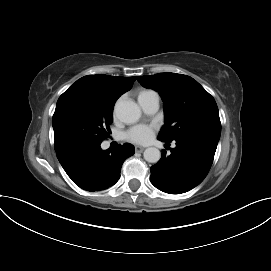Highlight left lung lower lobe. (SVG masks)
<instances>
[{
  "mask_svg": "<svg viewBox=\"0 0 271 271\" xmlns=\"http://www.w3.org/2000/svg\"><path fill=\"white\" fill-rule=\"evenodd\" d=\"M218 141L202 136H184L175 140L176 147L171 149V155L166 157L163 152L158 163L151 167V183L170 194H181L196 187L209 172Z\"/></svg>",
  "mask_w": 271,
  "mask_h": 271,
  "instance_id": "obj_1",
  "label": "left lung lower lobe"
}]
</instances>
